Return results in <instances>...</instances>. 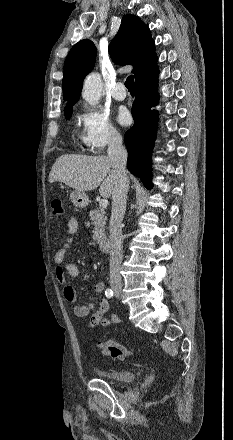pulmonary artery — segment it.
I'll return each instance as SVG.
<instances>
[{"mask_svg": "<svg viewBox=\"0 0 233 440\" xmlns=\"http://www.w3.org/2000/svg\"><path fill=\"white\" fill-rule=\"evenodd\" d=\"M112 96L119 101H122L126 98L127 92L125 91L124 85L121 82H117L114 85V88L112 90Z\"/></svg>", "mask_w": 233, "mask_h": 440, "instance_id": "1", "label": "pulmonary artery"}]
</instances>
